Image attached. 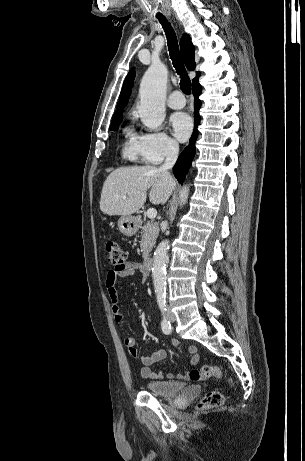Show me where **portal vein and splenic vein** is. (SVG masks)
Here are the masks:
<instances>
[{
    "instance_id": "obj_1",
    "label": "portal vein and splenic vein",
    "mask_w": 305,
    "mask_h": 461,
    "mask_svg": "<svg viewBox=\"0 0 305 461\" xmlns=\"http://www.w3.org/2000/svg\"><path fill=\"white\" fill-rule=\"evenodd\" d=\"M123 198L126 199V196H124ZM146 214L148 218L154 219L157 216V210L154 208H149Z\"/></svg>"
}]
</instances>
